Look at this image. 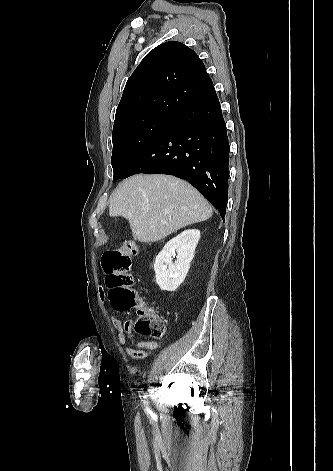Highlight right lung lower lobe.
Wrapping results in <instances>:
<instances>
[{"instance_id":"98d812e1","label":"right lung lower lobe","mask_w":333,"mask_h":471,"mask_svg":"<svg viewBox=\"0 0 333 471\" xmlns=\"http://www.w3.org/2000/svg\"><path fill=\"white\" fill-rule=\"evenodd\" d=\"M228 165L226 124L212 87L176 114L173 122L144 148L119 179L138 173L185 179L224 219Z\"/></svg>"}]
</instances>
